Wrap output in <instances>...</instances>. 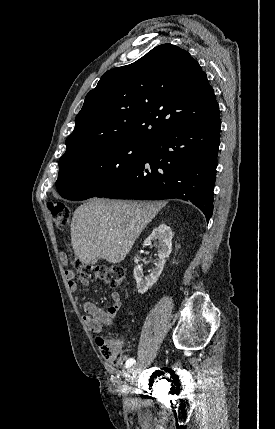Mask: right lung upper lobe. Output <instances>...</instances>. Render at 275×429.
I'll return each mask as SVG.
<instances>
[{"mask_svg":"<svg viewBox=\"0 0 275 429\" xmlns=\"http://www.w3.org/2000/svg\"><path fill=\"white\" fill-rule=\"evenodd\" d=\"M218 114L214 91L199 63L186 50L162 44L136 62L103 74L76 116L59 164L111 145L149 144Z\"/></svg>","mask_w":275,"mask_h":429,"instance_id":"cb5924a9","label":"right lung upper lobe"}]
</instances>
